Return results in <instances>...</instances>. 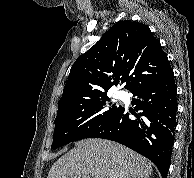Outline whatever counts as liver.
<instances>
[{"instance_id":"1","label":"liver","mask_w":194,"mask_h":178,"mask_svg":"<svg viewBox=\"0 0 194 178\" xmlns=\"http://www.w3.org/2000/svg\"><path fill=\"white\" fill-rule=\"evenodd\" d=\"M152 163L131 149L104 139H85L52 166L47 178H149Z\"/></svg>"}]
</instances>
